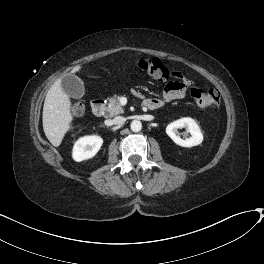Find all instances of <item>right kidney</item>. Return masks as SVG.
<instances>
[{
	"label": "right kidney",
	"instance_id": "obj_1",
	"mask_svg": "<svg viewBox=\"0 0 264 264\" xmlns=\"http://www.w3.org/2000/svg\"><path fill=\"white\" fill-rule=\"evenodd\" d=\"M102 143V138L96 135L79 138L73 147V159L80 162L94 157L101 148Z\"/></svg>",
	"mask_w": 264,
	"mask_h": 264
}]
</instances>
